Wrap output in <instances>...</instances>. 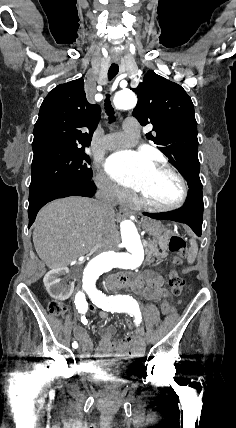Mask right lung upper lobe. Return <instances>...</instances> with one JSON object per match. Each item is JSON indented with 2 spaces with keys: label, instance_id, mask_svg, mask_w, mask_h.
I'll return each instance as SVG.
<instances>
[{
  "label": "right lung upper lobe",
  "instance_id": "obj_1",
  "mask_svg": "<svg viewBox=\"0 0 236 428\" xmlns=\"http://www.w3.org/2000/svg\"><path fill=\"white\" fill-rule=\"evenodd\" d=\"M99 118L100 107L86 100L82 78L60 84L41 105L32 148L89 145Z\"/></svg>",
  "mask_w": 236,
  "mask_h": 428
}]
</instances>
